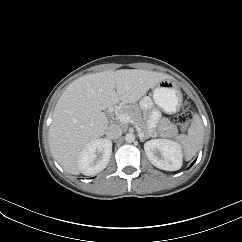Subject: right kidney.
Wrapping results in <instances>:
<instances>
[{"label":"right kidney","instance_id":"1","mask_svg":"<svg viewBox=\"0 0 242 242\" xmlns=\"http://www.w3.org/2000/svg\"><path fill=\"white\" fill-rule=\"evenodd\" d=\"M112 153V142L108 139H95L88 143L78 156L80 172L95 175L105 169ZM97 154H100L97 157Z\"/></svg>","mask_w":242,"mask_h":242}]
</instances>
